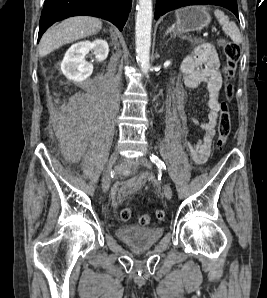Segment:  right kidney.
<instances>
[{
	"label": "right kidney",
	"instance_id": "obj_1",
	"mask_svg": "<svg viewBox=\"0 0 267 298\" xmlns=\"http://www.w3.org/2000/svg\"><path fill=\"white\" fill-rule=\"evenodd\" d=\"M90 50H94L97 61H104L109 53L108 43L103 39H96L93 42L81 41L73 44L61 62V71L66 78L81 82L91 76L93 64L84 60Z\"/></svg>",
	"mask_w": 267,
	"mask_h": 298
}]
</instances>
